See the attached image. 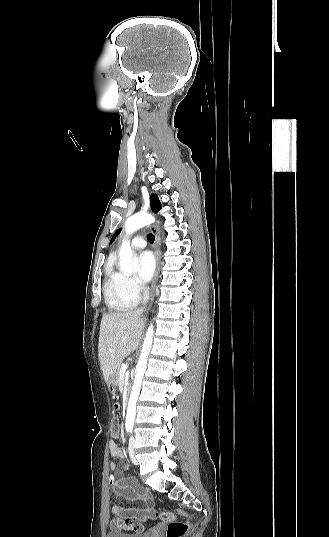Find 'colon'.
<instances>
[{
    "label": "colon",
    "mask_w": 329,
    "mask_h": 537,
    "mask_svg": "<svg viewBox=\"0 0 329 537\" xmlns=\"http://www.w3.org/2000/svg\"><path fill=\"white\" fill-rule=\"evenodd\" d=\"M116 404V403H115ZM114 404V405H115ZM113 405V408H114ZM111 435L113 438H118L120 436V426L117 419H114L112 422ZM113 512L115 515H119V507H113ZM186 518L185 511L177 509L175 511H163L161 513V519L168 524L166 537H184L188 531L189 525L184 519ZM121 522L126 524V519H121Z\"/></svg>",
    "instance_id": "colon-1"
}]
</instances>
